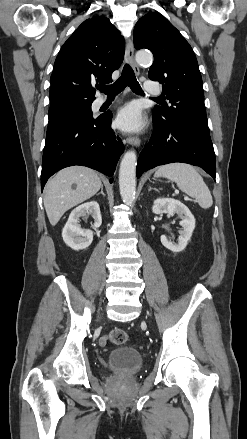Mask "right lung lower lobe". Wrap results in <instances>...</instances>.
<instances>
[{"label": "right lung lower lobe", "mask_w": 247, "mask_h": 439, "mask_svg": "<svg viewBox=\"0 0 247 439\" xmlns=\"http://www.w3.org/2000/svg\"><path fill=\"white\" fill-rule=\"evenodd\" d=\"M111 119V113L97 118H79L47 130L42 190L50 176L68 166L82 165L113 175L124 145L111 129Z\"/></svg>", "instance_id": "1"}]
</instances>
